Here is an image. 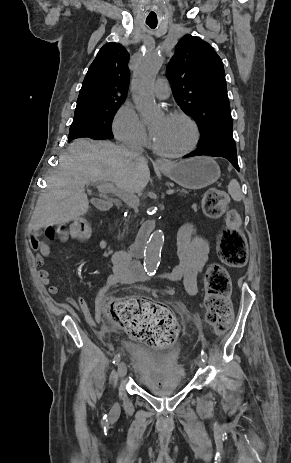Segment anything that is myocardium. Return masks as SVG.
<instances>
[{"label":"myocardium","instance_id":"1","mask_svg":"<svg viewBox=\"0 0 291 463\" xmlns=\"http://www.w3.org/2000/svg\"><path fill=\"white\" fill-rule=\"evenodd\" d=\"M170 117L180 119V120L184 121L190 127L192 136H191V140H190L189 144L185 148H183V149H181L179 151H176V152H164V151H161L154 144H152V148L158 155H160L161 157H164V158L172 159V158L183 157V156L191 153L196 148V146L198 145V142L200 140L199 127H198L196 121L191 116H189L187 113H185L183 111H173L170 114Z\"/></svg>","mask_w":291,"mask_h":463}]
</instances>
